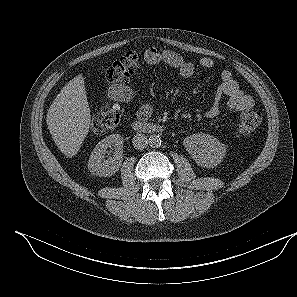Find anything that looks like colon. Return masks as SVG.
<instances>
[{"instance_id": "1", "label": "colon", "mask_w": 297, "mask_h": 297, "mask_svg": "<svg viewBox=\"0 0 297 297\" xmlns=\"http://www.w3.org/2000/svg\"><path fill=\"white\" fill-rule=\"evenodd\" d=\"M139 65L138 56L127 53L125 56L115 61L108 69L105 79L107 83H117L122 81L129 73ZM123 112L119 108H105L101 110L91 121L93 133L101 135L115 129L122 120ZM262 122V116L257 111H246L241 114L238 125L237 135L247 136L255 132Z\"/></svg>"}]
</instances>
